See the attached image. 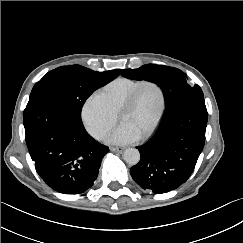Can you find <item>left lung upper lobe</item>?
<instances>
[{"instance_id":"obj_1","label":"left lung upper lobe","mask_w":243,"mask_h":243,"mask_svg":"<svg viewBox=\"0 0 243 243\" xmlns=\"http://www.w3.org/2000/svg\"><path fill=\"white\" fill-rule=\"evenodd\" d=\"M121 75L129 79H144L156 83L164 94L165 117L185 102L203 97L201 88L198 85H189L187 75L174 67L148 64L138 69H124Z\"/></svg>"}]
</instances>
